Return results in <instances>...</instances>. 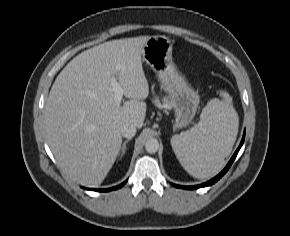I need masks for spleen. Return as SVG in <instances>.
<instances>
[{"mask_svg":"<svg viewBox=\"0 0 290 236\" xmlns=\"http://www.w3.org/2000/svg\"><path fill=\"white\" fill-rule=\"evenodd\" d=\"M223 100L212 99L203 108L200 121L190 130L174 135L171 145L183 168L198 179L219 173L238 133L239 119L227 92Z\"/></svg>","mask_w":290,"mask_h":236,"instance_id":"spleen-1","label":"spleen"}]
</instances>
